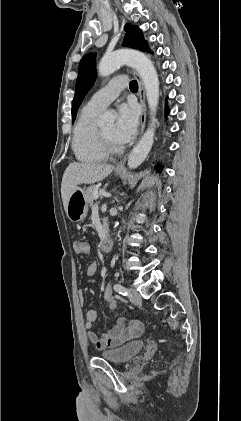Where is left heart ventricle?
I'll return each instance as SVG.
<instances>
[{"mask_svg": "<svg viewBox=\"0 0 241 421\" xmlns=\"http://www.w3.org/2000/svg\"><path fill=\"white\" fill-rule=\"evenodd\" d=\"M101 131L105 134L107 138H109L113 143L119 145V143L116 141L114 137L115 132V125L109 124L101 129Z\"/></svg>", "mask_w": 241, "mask_h": 421, "instance_id": "1", "label": "left heart ventricle"}]
</instances>
